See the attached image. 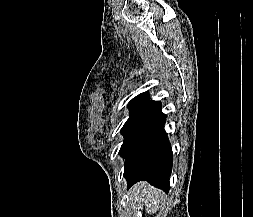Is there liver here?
Listing matches in <instances>:
<instances>
[{"mask_svg":"<svg viewBox=\"0 0 253 217\" xmlns=\"http://www.w3.org/2000/svg\"><path fill=\"white\" fill-rule=\"evenodd\" d=\"M130 199L137 201L148 214L155 213L159 203L164 200V194L147 183H138L130 190Z\"/></svg>","mask_w":253,"mask_h":217,"instance_id":"obj_1","label":"liver"}]
</instances>
